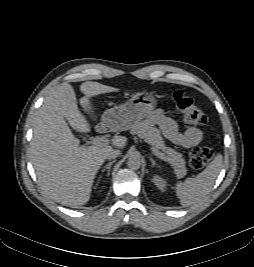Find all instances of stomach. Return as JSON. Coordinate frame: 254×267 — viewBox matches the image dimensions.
Segmentation results:
<instances>
[{"label":"stomach","instance_id":"1","mask_svg":"<svg viewBox=\"0 0 254 267\" xmlns=\"http://www.w3.org/2000/svg\"><path fill=\"white\" fill-rule=\"evenodd\" d=\"M156 106L157 100L151 92H137L125 103L106 110L101 117V123L113 130H128L147 118Z\"/></svg>","mask_w":254,"mask_h":267}]
</instances>
